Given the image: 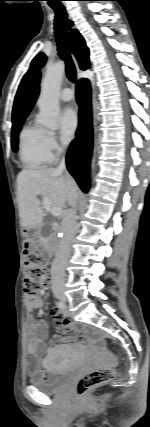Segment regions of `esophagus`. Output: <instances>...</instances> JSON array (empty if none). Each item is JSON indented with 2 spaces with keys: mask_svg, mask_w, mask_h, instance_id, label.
<instances>
[{
  "mask_svg": "<svg viewBox=\"0 0 150 427\" xmlns=\"http://www.w3.org/2000/svg\"><path fill=\"white\" fill-rule=\"evenodd\" d=\"M72 58H73V61L75 63L77 70H79V65H78V62H77L76 58L74 57V55H72Z\"/></svg>",
  "mask_w": 150,
  "mask_h": 427,
  "instance_id": "obj_1",
  "label": "esophagus"
}]
</instances>
